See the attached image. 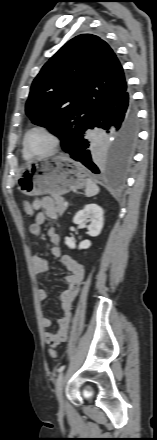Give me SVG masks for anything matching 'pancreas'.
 Here are the masks:
<instances>
[{"label":"pancreas","mask_w":157,"mask_h":440,"mask_svg":"<svg viewBox=\"0 0 157 440\" xmlns=\"http://www.w3.org/2000/svg\"><path fill=\"white\" fill-rule=\"evenodd\" d=\"M54 205H55V211L59 214V216H62L65 210L67 209V206L64 205V199L60 196H54Z\"/></svg>","instance_id":"cf45deb5"}]
</instances>
